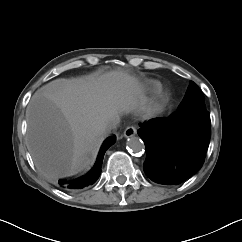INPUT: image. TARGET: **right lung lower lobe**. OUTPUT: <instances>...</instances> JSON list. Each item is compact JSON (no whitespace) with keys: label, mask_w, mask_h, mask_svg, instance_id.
I'll return each instance as SVG.
<instances>
[{"label":"right lung lower lobe","mask_w":242,"mask_h":242,"mask_svg":"<svg viewBox=\"0 0 242 242\" xmlns=\"http://www.w3.org/2000/svg\"><path fill=\"white\" fill-rule=\"evenodd\" d=\"M115 142V137H109L103 143L97 161L94 167L87 173L86 175L76 179V180H67L61 179L58 181V184L61 188H64L69 191H74L78 189H82L90 184H93L101 174V166L103 162V157L106 150Z\"/></svg>","instance_id":"right-lung-lower-lobe-1"}]
</instances>
